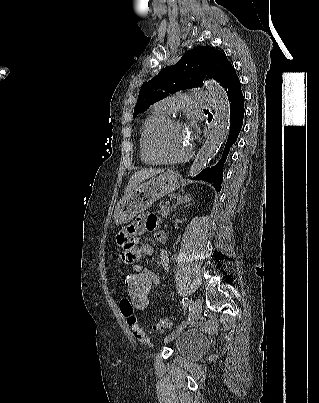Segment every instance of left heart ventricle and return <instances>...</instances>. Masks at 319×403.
<instances>
[{
    "label": "left heart ventricle",
    "mask_w": 319,
    "mask_h": 403,
    "mask_svg": "<svg viewBox=\"0 0 319 403\" xmlns=\"http://www.w3.org/2000/svg\"><path fill=\"white\" fill-rule=\"evenodd\" d=\"M190 141L183 126H171L162 135L160 147L164 155L170 158L184 156L189 148Z\"/></svg>",
    "instance_id": "b2bd125f"
}]
</instances>
